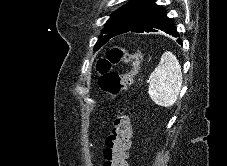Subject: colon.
Returning a JSON list of instances; mask_svg holds the SVG:
<instances>
[{
    "mask_svg": "<svg viewBox=\"0 0 227 166\" xmlns=\"http://www.w3.org/2000/svg\"><path fill=\"white\" fill-rule=\"evenodd\" d=\"M120 62L127 63L131 70L124 74L111 71V66ZM142 57L120 46L111 47L106 55L98 60L99 85L111 99L125 92L132 78L141 68ZM132 139V126L128 115L117 111L111 134L105 141L103 166H127L128 152Z\"/></svg>",
    "mask_w": 227,
    "mask_h": 166,
    "instance_id": "5ec220e1",
    "label": "colon"
}]
</instances>
